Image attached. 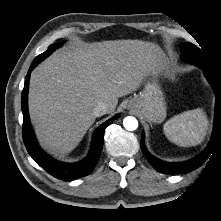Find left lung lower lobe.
Returning a JSON list of instances; mask_svg holds the SVG:
<instances>
[{
    "mask_svg": "<svg viewBox=\"0 0 221 221\" xmlns=\"http://www.w3.org/2000/svg\"><path fill=\"white\" fill-rule=\"evenodd\" d=\"M202 69L204 70L205 76L207 77L208 81L212 84L216 92L215 120L212 140L208 147L205 149V151L198 157L182 163H167L158 160L146 150L144 145V135L142 134L140 143L141 150L145 157L148 159V161L151 163V165L160 173L182 174L198 168L207 160V158L212 152L214 145L219 139H221V83L217 79L214 71L212 70L209 64H206Z\"/></svg>",
    "mask_w": 221,
    "mask_h": 221,
    "instance_id": "1",
    "label": "left lung lower lobe"
}]
</instances>
